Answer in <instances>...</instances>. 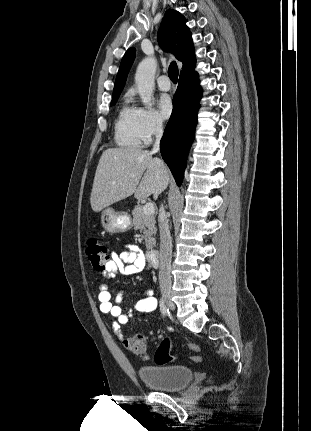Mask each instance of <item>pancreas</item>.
I'll return each mask as SVG.
<instances>
[{"mask_svg": "<svg viewBox=\"0 0 311 431\" xmlns=\"http://www.w3.org/2000/svg\"><path fill=\"white\" fill-rule=\"evenodd\" d=\"M132 216L134 229H140V231H143V239H145L144 243L147 251H149V249H152L156 243V239L154 237L157 231L155 216L154 214H144L143 206H140V204H138V206H134Z\"/></svg>", "mask_w": 311, "mask_h": 431, "instance_id": "1", "label": "pancreas"}]
</instances>
